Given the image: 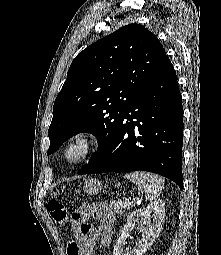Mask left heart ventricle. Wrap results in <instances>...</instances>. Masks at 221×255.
<instances>
[{
  "label": "left heart ventricle",
  "mask_w": 221,
  "mask_h": 255,
  "mask_svg": "<svg viewBox=\"0 0 221 255\" xmlns=\"http://www.w3.org/2000/svg\"><path fill=\"white\" fill-rule=\"evenodd\" d=\"M80 153L79 148H74L73 150L70 151V157L74 158Z\"/></svg>",
  "instance_id": "b2bd125f"
}]
</instances>
